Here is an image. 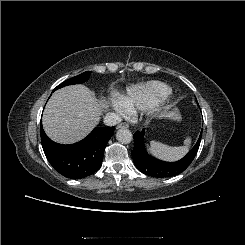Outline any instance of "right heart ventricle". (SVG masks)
Instances as JSON below:
<instances>
[{
	"mask_svg": "<svg viewBox=\"0 0 245 245\" xmlns=\"http://www.w3.org/2000/svg\"><path fill=\"white\" fill-rule=\"evenodd\" d=\"M171 89L160 81H150L132 85L119 97L123 105L130 112L135 108H147L166 99Z\"/></svg>",
	"mask_w": 245,
	"mask_h": 245,
	"instance_id": "1",
	"label": "right heart ventricle"
}]
</instances>
